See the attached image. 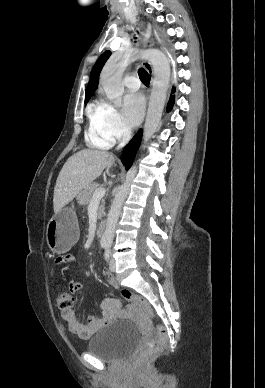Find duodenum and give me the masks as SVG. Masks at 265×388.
Masks as SVG:
<instances>
[{"label":"duodenum","mask_w":265,"mask_h":388,"mask_svg":"<svg viewBox=\"0 0 265 388\" xmlns=\"http://www.w3.org/2000/svg\"><path fill=\"white\" fill-rule=\"evenodd\" d=\"M106 226H107V223L105 220L101 221L98 226H97V229H96V234L98 237H102L103 234L105 233V230H106Z\"/></svg>","instance_id":"obj_1"}]
</instances>
